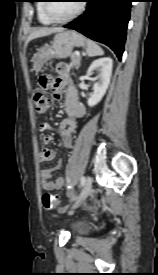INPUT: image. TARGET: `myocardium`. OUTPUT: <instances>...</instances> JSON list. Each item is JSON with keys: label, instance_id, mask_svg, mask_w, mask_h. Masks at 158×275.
Here are the masks:
<instances>
[{"label": "myocardium", "instance_id": "f54148a6", "mask_svg": "<svg viewBox=\"0 0 158 275\" xmlns=\"http://www.w3.org/2000/svg\"><path fill=\"white\" fill-rule=\"evenodd\" d=\"M46 2L47 3L44 4V12H45L46 16L48 17V19L54 23H65V22L71 21L74 18H76L77 16H79L85 9V3L83 0H81L80 5L78 6L77 10L73 14H71L70 16H68L66 18H57V17L53 16L50 11L51 3H48V2H51V1L48 0Z\"/></svg>", "mask_w": 158, "mask_h": 275}]
</instances>
